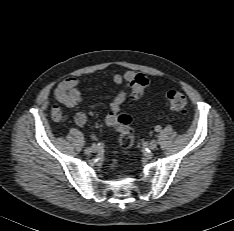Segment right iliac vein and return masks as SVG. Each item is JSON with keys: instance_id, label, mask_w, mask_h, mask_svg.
<instances>
[{"instance_id": "right-iliac-vein-1", "label": "right iliac vein", "mask_w": 234, "mask_h": 231, "mask_svg": "<svg viewBox=\"0 0 234 231\" xmlns=\"http://www.w3.org/2000/svg\"><path fill=\"white\" fill-rule=\"evenodd\" d=\"M98 149H99V148H97V147H96V148H90V147H89V148H86V149L84 150V153H85V154H90L91 152H97Z\"/></svg>"}]
</instances>
